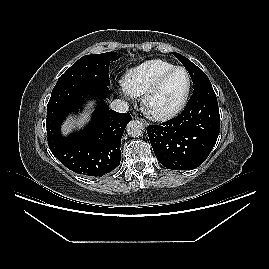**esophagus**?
<instances>
[{
  "instance_id": "esophagus-1",
  "label": "esophagus",
  "mask_w": 269,
  "mask_h": 269,
  "mask_svg": "<svg viewBox=\"0 0 269 269\" xmlns=\"http://www.w3.org/2000/svg\"><path fill=\"white\" fill-rule=\"evenodd\" d=\"M135 119L140 120L146 127L149 126L148 122H146L143 118L135 117Z\"/></svg>"
}]
</instances>
